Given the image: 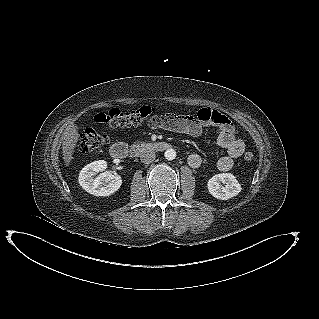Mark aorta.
Listing matches in <instances>:
<instances>
[{
    "mask_svg": "<svg viewBox=\"0 0 319 319\" xmlns=\"http://www.w3.org/2000/svg\"><path fill=\"white\" fill-rule=\"evenodd\" d=\"M164 156L167 160H174L176 158V151L172 148L167 149L164 153Z\"/></svg>",
    "mask_w": 319,
    "mask_h": 319,
    "instance_id": "aorta-1",
    "label": "aorta"
}]
</instances>
